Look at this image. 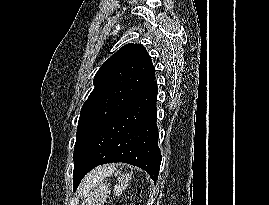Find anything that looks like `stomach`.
I'll use <instances>...</instances> for the list:
<instances>
[{
  "mask_svg": "<svg viewBox=\"0 0 269 205\" xmlns=\"http://www.w3.org/2000/svg\"><path fill=\"white\" fill-rule=\"evenodd\" d=\"M110 193V184L100 182L86 192L82 205H104Z\"/></svg>",
  "mask_w": 269,
  "mask_h": 205,
  "instance_id": "stomach-1",
  "label": "stomach"
}]
</instances>
